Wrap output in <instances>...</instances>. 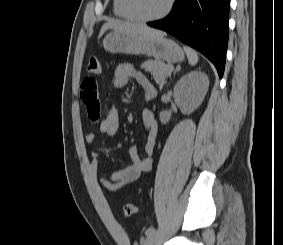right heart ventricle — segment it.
<instances>
[{"label": "right heart ventricle", "mask_w": 283, "mask_h": 245, "mask_svg": "<svg viewBox=\"0 0 283 245\" xmlns=\"http://www.w3.org/2000/svg\"><path fill=\"white\" fill-rule=\"evenodd\" d=\"M113 10L114 14L119 18L132 20V18L126 11L124 0H113Z\"/></svg>", "instance_id": "1"}]
</instances>
